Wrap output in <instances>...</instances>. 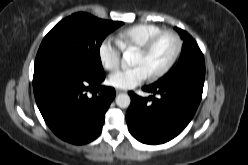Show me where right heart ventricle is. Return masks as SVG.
<instances>
[{"label":"right heart ventricle","mask_w":248,"mask_h":165,"mask_svg":"<svg viewBox=\"0 0 248 165\" xmlns=\"http://www.w3.org/2000/svg\"><path fill=\"white\" fill-rule=\"evenodd\" d=\"M162 31L163 29L155 24H136L119 31L115 40L122 50L138 49L148 39Z\"/></svg>","instance_id":"e07e8e85"}]
</instances>
